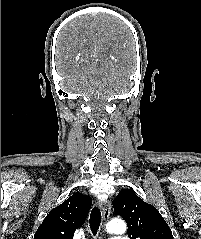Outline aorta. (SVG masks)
Returning a JSON list of instances; mask_svg holds the SVG:
<instances>
[{
    "mask_svg": "<svg viewBox=\"0 0 201 239\" xmlns=\"http://www.w3.org/2000/svg\"><path fill=\"white\" fill-rule=\"evenodd\" d=\"M106 231L111 234H123L126 231V224L122 219H112L106 225Z\"/></svg>",
    "mask_w": 201,
    "mask_h": 239,
    "instance_id": "obj_1",
    "label": "aorta"
}]
</instances>
